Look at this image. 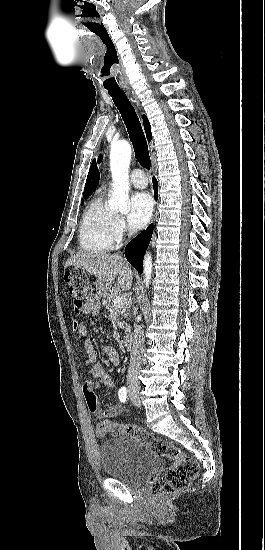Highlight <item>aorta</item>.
<instances>
[{
    "label": "aorta",
    "mask_w": 265,
    "mask_h": 550,
    "mask_svg": "<svg viewBox=\"0 0 265 550\" xmlns=\"http://www.w3.org/2000/svg\"><path fill=\"white\" fill-rule=\"evenodd\" d=\"M132 150L128 142H120L111 146L110 169L113 179L112 196L108 201L110 209L121 213L129 211V166ZM144 282L149 286L152 274L151 254L146 253L144 257Z\"/></svg>",
    "instance_id": "aorta-1"
}]
</instances>
